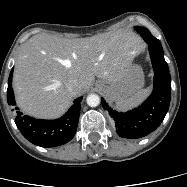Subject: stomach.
<instances>
[{"label":"stomach","mask_w":187,"mask_h":187,"mask_svg":"<svg viewBox=\"0 0 187 187\" xmlns=\"http://www.w3.org/2000/svg\"><path fill=\"white\" fill-rule=\"evenodd\" d=\"M144 84L142 68L137 64H131L124 77L116 82L99 80L96 86L111 102L123 101L134 95Z\"/></svg>","instance_id":"0dacf381"}]
</instances>
